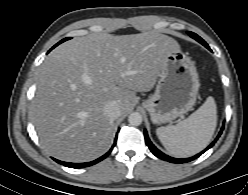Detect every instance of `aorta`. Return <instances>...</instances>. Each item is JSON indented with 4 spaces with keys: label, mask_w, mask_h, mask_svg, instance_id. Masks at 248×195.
I'll return each mask as SVG.
<instances>
[{
    "label": "aorta",
    "mask_w": 248,
    "mask_h": 195,
    "mask_svg": "<svg viewBox=\"0 0 248 195\" xmlns=\"http://www.w3.org/2000/svg\"><path fill=\"white\" fill-rule=\"evenodd\" d=\"M142 115L138 112H132L128 117V122L132 126H139L142 123Z\"/></svg>",
    "instance_id": "obj_1"
}]
</instances>
